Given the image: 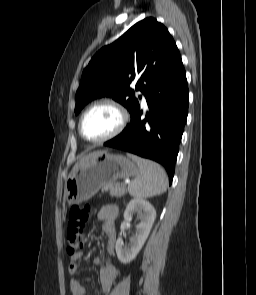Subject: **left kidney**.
<instances>
[{
    "label": "left kidney",
    "instance_id": "5707ae66",
    "mask_svg": "<svg viewBox=\"0 0 256 295\" xmlns=\"http://www.w3.org/2000/svg\"><path fill=\"white\" fill-rule=\"evenodd\" d=\"M134 212L141 214V222L136 225L137 232L130 241L129 247L123 246L122 238H118L116 241L117 257L123 264L130 263L137 256L148 238L156 218V211L148 201L134 198L128 203L124 211V221L120 227L121 231L124 232Z\"/></svg>",
    "mask_w": 256,
    "mask_h": 295
}]
</instances>
